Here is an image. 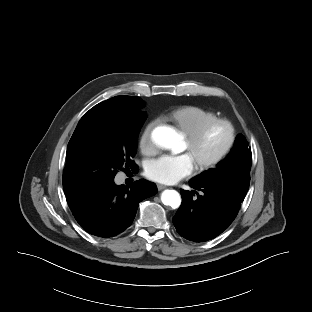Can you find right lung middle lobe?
Instances as JSON below:
<instances>
[{
    "label": "right lung middle lobe",
    "mask_w": 312,
    "mask_h": 312,
    "mask_svg": "<svg viewBox=\"0 0 312 312\" xmlns=\"http://www.w3.org/2000/svg\"><path fill=\"white\" fill-rule=\"evenodd\" d=\"M94 106L79 121L67 146L63 188L67 200L114 180L118 169L137 166V136L146 120L141 107Z\"/></svg>",
    "instance_id": "dd1d6c3e"
}]
</instances>
